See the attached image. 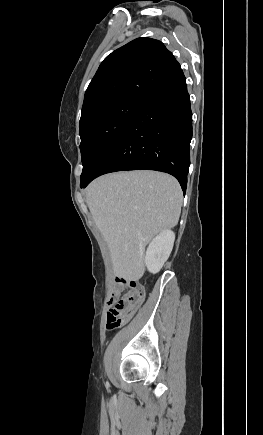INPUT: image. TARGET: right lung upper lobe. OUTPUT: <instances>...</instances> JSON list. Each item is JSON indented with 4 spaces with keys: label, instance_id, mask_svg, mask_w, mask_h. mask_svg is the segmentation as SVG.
Instances as JSON below:
<instances>
[{
    "label": "right lung upper lobe",
    "instance_id": "obj_1",
    "mask_svg": "<svg viewBox=\"0 0 263 435\" xmlns=\"http://www.w3.org/2000/svg\"><path fill=\"white\" fill-rule=\"evenodd\" d=\"M182 71L164 44L138 38L108 55L84 97L80 123L95 108L119 100L145 102Z\"/></svg>",
    "mask_w": 263,
    "mask_h": 435
}]
</instances>
